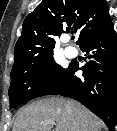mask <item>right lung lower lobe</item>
I'll list each match as a JSON object with an SVG mask.
<instances>
[{
	"label": "right lung lower lobe",
	"mask_w": 117,
	"mask_h": 131,
	"mask_svg": "<svg viewBox=\"0 0 117 131\" xmlns=\"http://www.w3.org/2000/svg\"><path fill=\"white\" fill-rule=\"evenodd\" d=\"M86 64L71 63L62 87L54 92L70 97L100 117L110 131L117 120V36L113 25L80 45ZM83 71V77L74 75Z\"/></svg>",
	"instance_id": "1"
}]
</instances>
